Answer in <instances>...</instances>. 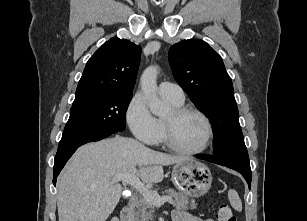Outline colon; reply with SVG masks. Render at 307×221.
I'll use <instances>...</instances> for the list:
<instances>
[{"instance_id":"1","label":"colon","mask_w":307,"mask_h":221,"mask_svg":"<svg viewBox=\"0 0 307 221\" xmlns=\"http://www.w3.org/2000/svg\"><path fill=\"white\" fill-rule=\"evenodd\" d=\"M216 217L218 221H236L231 207L226 203H219L217 205Z\"/></svg>"}]
</instances>
